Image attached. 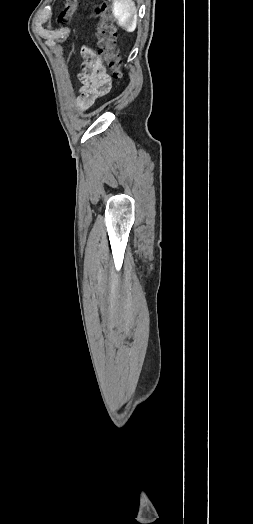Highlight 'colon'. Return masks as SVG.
Listing matches in <instances>:
<instances>
[{
	"instance_id": "5ec220e1",
	"label": "colon",
	"mask_w": 253,
	"mask_h": 524,
	"mask_svg": "<svg viewBox=\"0 0 253 524\" xmlns=\"http://www.w3.org/2000/svg\"><path fill=\"white\" fill-rule=\"evenodd\" d=\"M78 5L79 0H64L63 8L58 17V23L60 25L68 24L76 13ZM94 15L98 19V52L112 77L115 80H120L123 76L122 59L117 48L116 27L112 15L108 10V4L104 3L98 7L94 11Z\"/></svg>"
}]
</instances>
